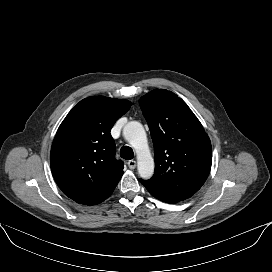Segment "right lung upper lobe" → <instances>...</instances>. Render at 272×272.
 I'll return each mask as SVG.
<instances>
[{
	"mask_svg": "<svg viewBox=\"0 0 272 272\" xmlns=\"http://www.w3.org/2000/svg\"><path fill=\"white\" fill-rule=\"evenodd\" d=\"M131 103L104 96L81 100L59 126L51 148V171L69 198L87 204L123 174L110 134Z\"/></svg>",
	"mask_w": 272,
	"mask_h": 272,
	"instance_id": "right-lung-upper-lobe-1",
	"label": "right lung upper lobe"
}]
</instances>
